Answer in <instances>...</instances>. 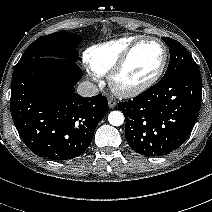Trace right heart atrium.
<instances>
[{"label":"right heart atrium","instance_id":"right-heart-atrium-1","mask_svg":"<svg viewBox=\"0 0 212 212\" xmlns=\"http://www.w3.org/2000/svg\"><path fill=\"white\" fill-rule=\"evenodd\" d=\"M90 76L93 78V79H97L98 78V74H96L95 72H90Z\"/></svg>","mask_w":212,"mask_h":212}]
</instances>
